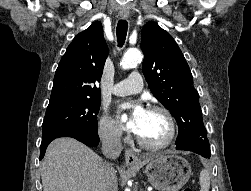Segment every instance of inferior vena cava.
<instances>
[{"label":"inferior vena cava","instance_id":"602c4592","mask_svg":"<svg viewBox=\"0 0 251 191\" xmlns=\"http://www.w3.org/2000/svg\"><path fill=\"white\" fill-rule=\"evenodd\" d=\"M122 129L120 125H112L109 127L105 133L102 135V151L106 157L110 159H115L119 157L122 151V141H121ZM110 181H116L115 171L113 169L112 173L109 175Z\"/></svg>","mask_w":251,"mask_h":191}]
</instances>
